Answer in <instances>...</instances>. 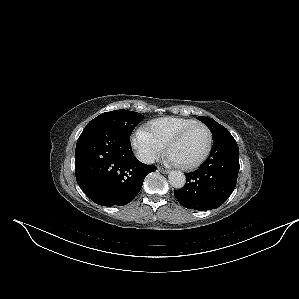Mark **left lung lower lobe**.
<instances>
[{"label": "left lung lower lobe", "mask_w": 299, "mask_h": 299, "mask_svg": "<svg viewBox=\"0 0 299 299\" xmlns=\"http://www.w3.org/2000/svg\"><path fill=\"white\" fill-rule=\"evenodd\" d=\"M239 172V148L229 131L213 136L209 158L186 174V185L174 191L178 202L199 211L216 209L233 192Z\"/></svg>", "instance_id": "obj_1"}]
</instances>
